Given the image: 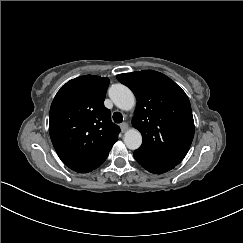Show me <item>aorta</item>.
<instances>
[{
    "label": "aorta",
    "instance_id": "obj_1",
    "mask_svg": "<svg viewBox=\"0 0 243 243\" xmlns=\"http://www.w3.org/2000/svg\"><path fill=\"white\" fill-rule=\"evenodd\" d=\"M109 97L115 106L122 111H131L136 105V99L132 91L122 85L114 84L109 89ZM124 143L129 149L135 150L142 143V135L136 128H129L124 133Z\"/></svg>",
    "mask_w": 243,
    "mask_h": 243
}]
</instances>
